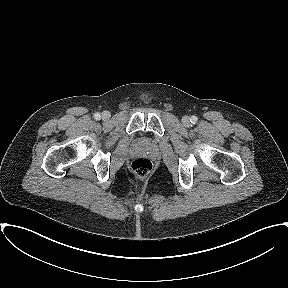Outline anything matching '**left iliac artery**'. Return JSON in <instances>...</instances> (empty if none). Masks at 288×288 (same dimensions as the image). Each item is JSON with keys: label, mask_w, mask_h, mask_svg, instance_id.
<instances>
[{"label": "left iliac artery", "mask_w": 288, "mask_h": 288, "mask_svg": "<svg viewBox=\"0 0 288 288\" xmlns=\"http://www.w3.org/2000/svg\"><path fill=\"white\" fill-rule=\"evenodd\" d=\"M190 122L195 124L197 122V117L196 116H192L190 119Z\"/></svg>", "instance_id": "left-iliac-artery-1"}]
</instances>
